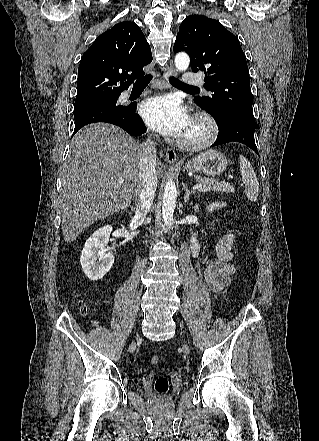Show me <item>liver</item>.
<instances>
[{"mask_svg":"<svg viewBox=\"0 0 319 441\" xmlns=\"http://www.w3.org/2000/svg\"><path fill=\"white\" fill-rule=\"evenodd\" d=\"M140 145L121 128L93 123L72 138L67 160L61 168L62 232L66 244L73 242L94 222L126 209L139 186ZM156 173L163 165L156 162ZM122 177L123 183L118 179Z\"/></svg>","mask_w":319,"mask_h":441,"instance_id":"6515ba94","label":"liver"}]
</instances>
